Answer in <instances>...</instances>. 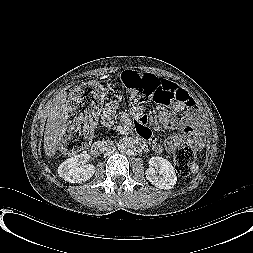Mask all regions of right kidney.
<instances>
[{"label":"right kidney","instance_id":"ca27d5eb","mask_svg":"<svg viewBox=\"0 0 253 253\" xmlns=\"http://www.w3.org/2000/svg\"><path fill=\"white\" fill-rule=\"evenodd\" d=\"M91 156L81 153L68 158L58 167V174L70 183H82L87 181L95 173V166L89 164Z\"/></svg>","mask_w":253,"mask_h":253}]
</instances>
